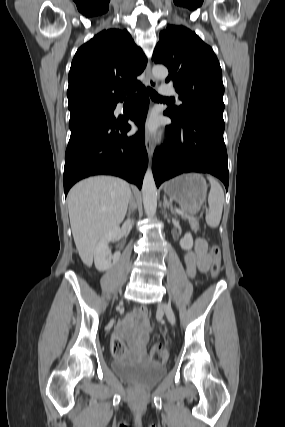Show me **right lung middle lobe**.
<instances>
[{"instance_id": "dd1d6c3e", "label": "right lung middle lobe", "mask_w": 285, "mask_h": 427, "mask_svg": "<svg viewBox=\"0 0 285 427\" xmlns=\"http://www.w3.org/2000/svg\"><path fill=\"white\" fill-rule=\"evenodd\" d=\"M115 105H95L87 107L81 111L71 113L69 127L87 116H102L114 119L113 110Z\"/></svg>"}]
</instances>
